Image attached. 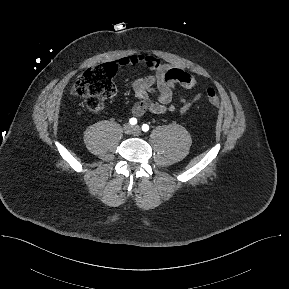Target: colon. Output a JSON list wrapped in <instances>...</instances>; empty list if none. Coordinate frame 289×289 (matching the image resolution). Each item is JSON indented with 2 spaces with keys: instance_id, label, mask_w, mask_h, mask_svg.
Segmentation results:
<instances>
[{
  "instance_id": "1",
  "label": "colon",
  "mask_w": 289,
  "mask_h": 289,
  "mask_svg": "<svg viewBox=\"0 0 289 289\" xmlns=\"http://www.w3.org/2000/svg\"><path fill=\"white\" fill-rule=\"evenodd\" d=\"M114 73L115 66L113 64L89 68L77 78L72 86V93L84 98L90 110L100 111L104 101L116 92L112 81ZM205 94L212 106H219L220 100L214 89L207 88Z\"/></svg>"
}]
</instances>
